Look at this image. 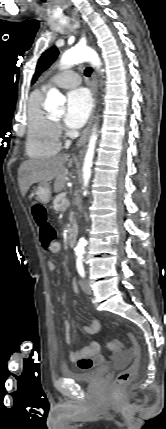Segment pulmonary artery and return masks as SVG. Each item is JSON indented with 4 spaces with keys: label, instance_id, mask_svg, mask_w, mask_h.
Masks as SVG:
<instances>
[{
    "label": "pulmonary artery",
    "instance_id": "e3ab8cb5",
    "mask_svg": "<svg viewBox=\"0 0 166 429\" xmlns=\"http://www.w3.org/2000/svg\"><path fill=\"white\" fill-rule=\"evenodd\" d=\"M80 76L76 72L64 70L51 78V82L63 88H71L80 83Z\"/></svg>",
    "mask_w": 166,
    "mask_h": 429
}]
</instances>
